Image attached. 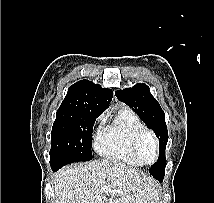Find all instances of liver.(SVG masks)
<instances>
[{
  "instance_id": "obj_1",
  "label": "liver",
  "mask_w": 214,
  "mask_h": 203,
  "mask_svg": "<svg viewBox=\"0 0 214 203\" xmlns=\"http://www.w3.org/2000/svg\"><path fill=\"white\" fill-rule=\"evenodd\" d=\"M106 186L110 192L105 191ZM53 190L55 203H149L158 196L154 179L111 160L60 169L55 174Z\"/></svg>"
}]
</instances>
